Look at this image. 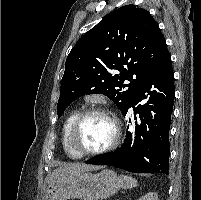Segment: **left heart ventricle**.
<instances>
[{
    "label": "left heart ventricle",
    "instance_id": "b2bd125f",
    "mask_svg": "<svg viewBox=\"0 0 201 200\" xmlns=\"http://www.w3.org/2000/svg\"><path fill=\"white\" fill-rule=\"evenodd\" d=\"M113 136L110 120L102 115L87 117L76 133V145L81 151L97 150L107 145Z\"/></svg>",
    "mask_w": 201,
    "mask_h": 200
}]
</instances>
